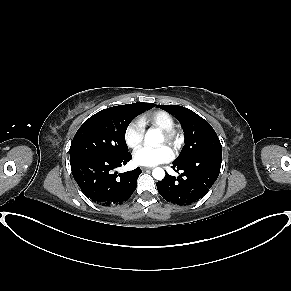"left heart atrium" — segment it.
<instances>
[{
  "mask_svg": "<svg viewBox=\"0 0 291 291\" xmlns=\"http://www.w3.org/2000/svg\"><path fill=\"white\" fill-rule=\"evenodd\" d=\"M172 157V150L165 145L158 147L141 146L133 153V159L136 164L150 167L167 162Z\"/></svg>",
  "mask_w": 291,
  "mask_h": 291,
  "instance_id": "39dd6f15",
  "label": "left heart atrium"
}]
</instances>
